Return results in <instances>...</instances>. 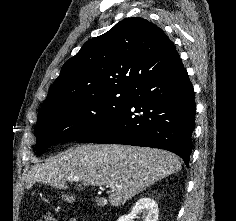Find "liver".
I'll return each instance as SVG.
<instances>
[{"instance_id":"obj_1","label":"liver","mask_w":236,"mask_h":221,"mask_svg":"<svg viewBox=\"0 0 236 221\" xmlns=\"http://www.w3.org/2000/svg\"><path fill=\"white\" fill-rule=\"evenodd\" d=\"M181 162L174 154L154 148L123 145H81L31 167L26 185L36 182L66 189L76 178L78 190L113 184L112 206H121L155 182L177 173ZM71 181V180H69Z\"/></svg>"}]
</instances>
